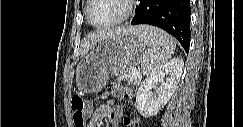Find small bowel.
<instances>
[{
	"label": "small bowel",
	"instance_id": "small-bowel-1",
	"mask_svg": "<svg viewBox=\"0 0 243 127\" xmlns=\"http://www.w3.org/2000/svg\"><path fill=\"white\" fill-rule=\"evenodd\" d=\"M121 116L122 108L114 100H108L93 112L87 127L99 126L104 119L108 120L110 126L117 127Z\"/></svg>",
	"mask_w": 243,
	"mask_h": 127
}]
</instances>
